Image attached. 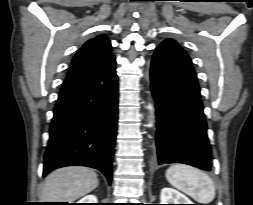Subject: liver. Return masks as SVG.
Segmentation results:
<instances>
[{
  "label": "liver",
  "instance_id": "obj_1",
  "mask_svg": "<svg viewBox=\"0 0 253 205\" xmlns=\"http://www.w3.org/2000/svg\"><path fill=\"white\" fill-rule=\"evenodd\" d=\"M99 184L97 174L87 167H65L50 173L44 181L41 200L69 202L88 194Z\"/></svg>",
  "mask_w": 253,
  "mask_h": 205
}]
</instances>
